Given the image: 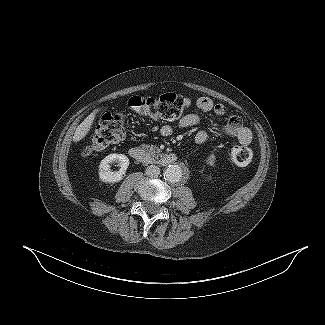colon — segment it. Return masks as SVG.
Returning a JSON list of instances; mask_svg holds the SVG:
<instances>
[{"label":"colon","instance_id":"5ec220e1","mask_svg":"<svg viewBox=\"0 0 325 325\" xmlns=\"http://www.w3.org/2000/svg\"><path fill=\"white\" fill-rule=\"evenodd\" d=\"M129 107L138 115L155 121H174L189 108L191 100L183 95L164 93L153 96H135L129 100ZM126 135V118L122 112L105 113L98 126L82 148L87 156L121 142ZM231 160L240 166L250 163L252 151L249 147L236 145L230 153Z\"/></svg>","mask_w":325,"mask_h":325}]
</instances>
